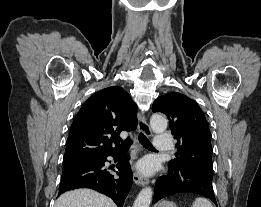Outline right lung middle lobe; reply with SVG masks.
<instances>
[{
  "label": "right lung middle lobe",
  "mask_w": 261,
  "mask_h": 207,
  "mask_svg": "<svg viewBox=\"0 0 261 207\" xmlns=\"http://www.w3.org/2000/svg\"><path fill=\"white\" fill-rule=\"evenodd\" d=\"M94 161H95V158H84V159L64 161L63 169L78 166V165H83V164H91Z\"/></svg>",
  "instance_id": "obj_1"
}]
</instances>
